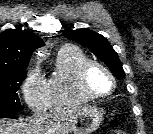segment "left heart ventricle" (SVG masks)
<instances>
[{
  "instance_id": "1",
  "label": "left heart ventricle",
  "mask_w": 153,
  "mask_h": 134,
  "mask_svg": "<svg viewBox=\"0 0 153 134\" xmlns=\"http://www.w3.org/2000/svg\"><path fill=\"white\" fill-rule=\"evenodd\" d=\"M88 86L92 92L101 94L110 91L112 82L104 71L94 68L88 76Z\"/></svg>"
}]
</instances>
